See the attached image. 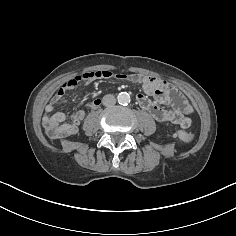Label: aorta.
Listing matches in <instances>:
<instances>
[{
    "label": "aorta",
    "instance_id": "aorta-1",
    "mask_svg": "<svg viewBox=\"0 0 236 236\" xmlns=\"http://www.w3.org/2000/svg\"><path fill=\"white\" fill-rule=\"evenodd\" d=\"M118 103L127 105L130 102V95L127 92H121L117 96Z\"/></svg>",
    "mask_w": 236,
    "mask_h": 236
}]
</instances>
